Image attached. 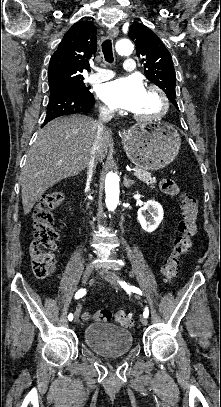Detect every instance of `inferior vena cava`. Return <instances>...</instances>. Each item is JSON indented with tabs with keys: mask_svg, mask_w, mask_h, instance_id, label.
Masks as SVG:
<instances>
[{
	"mask_svg": "<svg viewBox=\"0 0 221 407\" xmlns=\"http://www.w3.org/2000/svg\"><path fill=\"white\" fill-rule=\"evenodd\" d=\"M114 117V111L106 106L99 107V119L96 122V136L90 153V159L88 161L87 167V181H91L95 166L99 160L102 147V138L104 133L107 131L105 123L109 122Z\"/></svg>",
	"mask_w": 221,
	"mask_h": 407,
	"instance_id": "602c4592",
	"label": "inferior vena cava"
}]
</instances>
